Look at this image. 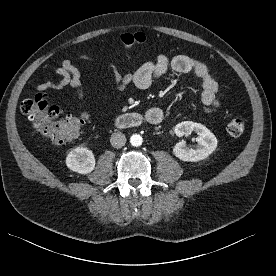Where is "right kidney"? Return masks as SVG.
<instances>
[{"instance_id": "right-kidney-1", "label": "right kidney", "mask_w": 276, "mask_h": 276, "mask_svg": "<svg viewBox=\"0 0 276 276\" xmlns=\"http://www.w3.org/2000/svg\"><path fill=\"white\" fill-rule=\"evenodd\" d=\"M95 163L93 152L85 147L73 149L66 157L67 167L80 174H89L94 170Z\"/></svg>"}]
</instances>
